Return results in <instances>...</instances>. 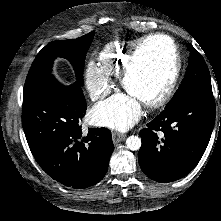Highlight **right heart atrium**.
<instances>
[{
    "instance_id": "right-heart-atrium-1",
    "label": "right heart atrium",
    "mask_w": 221,
    "mask_h": 221,
    "mask_svg": "<svg viewBox=\"0 0 221 221\" xmlns=\"http://www.w3.org/2000/svg\"><path fill=\"white\" fill-rule=\"evenodd\" d=\"M87 88L92 100L102 99L110 90L108 77L94 63L88 64L86 68Z\"/></svg>"
}]
</instances>
